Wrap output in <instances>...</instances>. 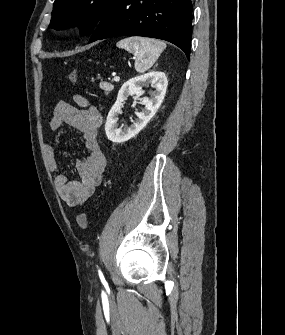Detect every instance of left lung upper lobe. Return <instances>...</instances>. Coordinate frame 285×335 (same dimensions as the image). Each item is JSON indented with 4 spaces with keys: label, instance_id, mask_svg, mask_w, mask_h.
<instances>
[{
    "label": "left lung upper lobe",
    "instance_id": "left-lung-upper-lobe-1",
    "mask_svg": "<svg viewBox=\"0 0 285 335\" xmlns=\"http://www.w3.org/2000/svg\"><path fill=\"white\" fill-rule=\"evenodd\" d=\"M115 0H55L50 27L65 29L78 25L85 35L98 23Z\"/></svg>",
    "mask_w": 285,
    "mask_h": 335
}]
</instances>
